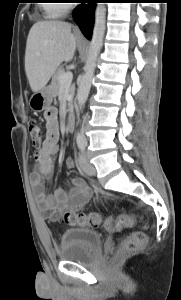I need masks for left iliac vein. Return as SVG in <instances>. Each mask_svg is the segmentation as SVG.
Segmentation results:
<instances>
[{"mask_svg": "<svg viewBox=\"0 0 181 300\" xmlns=\"http://www.w3.org/2000/svg\"><path fill=\"white\" fill-rule=\"evenodd\" d=\"M79 164L83 172L88 176H94L96 171L93 164H91L85 153H81L79 156Z\"/></svg>", "mask_w": 181, "mask_h": 300, "instance_id": "obj_1", "label": "left iliac vein"}]
</instances>
